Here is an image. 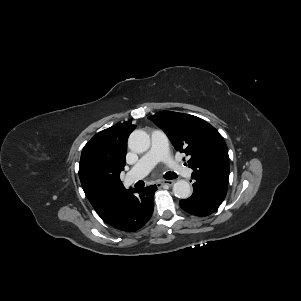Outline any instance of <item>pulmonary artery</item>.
I'll list each match as a JSON object with an SVG mask.
<instances>
[{"label": "pulmonary artery", "instance_id": "obj_1", "mask_svg": "<svg viewBox=\"0 0 301 301\" xmlns=\"http://www.w3.org/2000/svg\"><path fill=\"white\" fill-rule=\"evenodd\" d=\"M159 161H164L178 174L191 176L192 170L174 162L169 154L168 139L161 130H154L151 134V147L136 165L127 173L125 184L130 185L144 178Z\"/></svg>", "mask_w": 301, "mask_h": 301}]
</instances>
